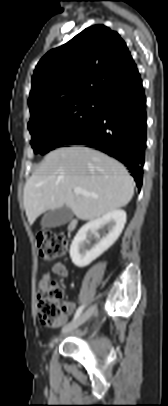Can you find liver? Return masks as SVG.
<instances>
[{
  "label": "liver",
  "instance_id": "1",
  "mask_svg": "<svg viewBox=\"0 0 168 406\" xmlns=\"http://www.w3.org/2000/svg\"><path fill=\"white\" fill-rule=\"evenodd\" d=\"M79 187L98 197L75 194ZM134 181L126 168L108 155L74 146L48 153L24 186L23 201L30 225L42 213L64 205L81 220H93L126 206Z\"/></svg>",
  "mask_w": 168,
  "mask_h": 406
}]
</instances>
